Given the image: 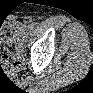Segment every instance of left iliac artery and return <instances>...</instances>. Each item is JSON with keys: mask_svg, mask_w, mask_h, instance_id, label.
<instances>
[{"mask_svg": "<svg viewBox=\"0 0 93 93\" xmlns=\"http://www.w3.org/2000/svg\"><path fill=\"white\" fill-rule=\"evenodd\" d=\"M29 27H30V29H32L33 28V25L31 24V25H29Z\"/></svg>", "mask_w": 93, "mask_h": 93, "instance_id": "left-iliac-artery-1", "label": "left iliac artery"}]
</instances>
